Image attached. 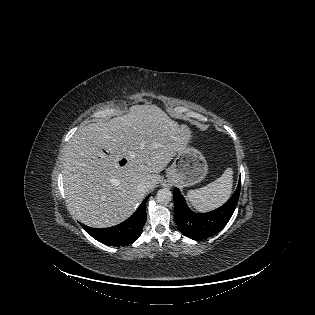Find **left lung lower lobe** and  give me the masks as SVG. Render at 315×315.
Returning a JSON list of instances; mask_svg holds the SVG:
<instances>
[{
	"mask_svg": "<svg viewBox=\"0 0 315 315\" xmlns=\"http://www.w3.org/2000/svg\"><path fill=\"white\" fill-rule=\"evenodd\" d=\"M241 179L232 197L220 208L197 214L192 212L178 188H174V215L181 232L193 240L206 239L221 231L231 218L239 199Z\"/></svg>",
	"mask_w": 315,
	"mask_h": 315,
	"instance_id": "1",
	"label": "left lung lower lobe"
}]
</instances>
